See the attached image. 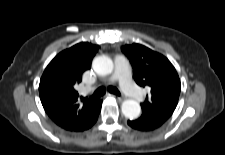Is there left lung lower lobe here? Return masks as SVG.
<instances>
[{"label":"left lung lower lobe","instance_id":"left-lung-lower-lobe-1","mask_svg":"<svg viewBox=\"0 0 225 155\" xmlns=\"http://www.w3.org/2000/svg\"><path fill=\"white\" fill-rule=\"evenodd\" d=\"M165 122L166 120L158 118H149V119L138 118L136 120H129L128 125L133 129H137L140 131H151L157 129Z\"/></svg>","mask_w":225,"mask_h":155}]
</instances>
